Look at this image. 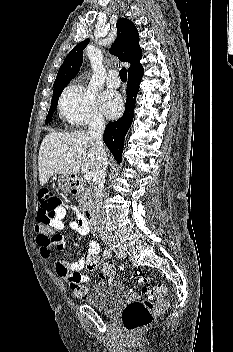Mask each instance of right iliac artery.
<instances>
[{
    "mask_svg": "<svg viewBox=\"0 0 233 352\" xmlns=\"http://www.w3.org/2000/svg\"><path fill=\"white\" fill-rule=\"evenodd\" d=\"M104 256H105L106 258H110V257H111V251H110L109 249H105V250H104Z\"/></svg>",
    "mask_w": 233,
    "mask_h": 352,
    "instance_id": "obj_1",
    "label": "right iliac artery"
}]
</instances>
